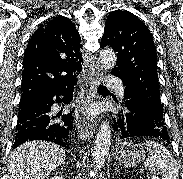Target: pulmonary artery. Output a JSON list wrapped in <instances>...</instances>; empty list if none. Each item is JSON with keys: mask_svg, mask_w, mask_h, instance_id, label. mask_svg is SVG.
Segmentation results:
<instances>
[{"mask_svg": "<svg viewBox=\"0 0 183 179\" xmlns=\"http://www.w3.org/2000/svg\"><path fill=\"white\" fill-rule=\"evenodd\" d=\"M106 82L108 86L115 88L121 96L124 95V86L119 78L109 76Z\"/></svg>", "mask_w": 183, "mask_h": 179, "instance_id": "obj_1", "label": "pulmonary artery"}]
</instances>
